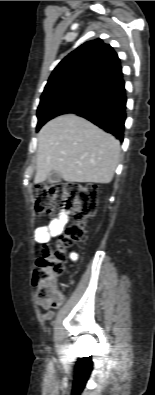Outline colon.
<instances>
[{"instance_id":"obj_1","label":"colon","mask_w":155,"mask_h":395,"mask_svg":"<svg viewBox=\"0 0 155 395\" xmlns=\"http://www.w3.org/2000/svg\"><path fill=\"white\" fill-rule=\"evenodd\" d=\"M98 190L93 184L59 182L39 185L35 194L37 215H48L62 207L74 215V223L61 236L55 247L45 245L33 271L32 284L36 302L47 308L63 302L57 282L66 262V250L83 240L88 219L96 210Z\"/></svg>"}]
</instances>
